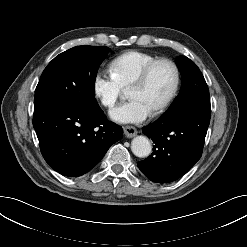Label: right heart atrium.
Returning a JSON list of instances; mask_svg holds the SVG:
<instances>
[{
	"instance_id": "right-heart-atrium-1",
	"label": "right heart atrium",
	"mask_w": 247,
	"mask_h": 247,
	"mask_svg": "<svg viewBox=\"0 0 247 247\" xmlns=\"http://www.w3.org/2000/svg\"><path fill=\"white\" fill-rule=\"evenodd\" d=\"M92 88L95 98L106 108L112 107L122 92V88L105 71L94 75Z\"/></svg>"
}]
</instances>
